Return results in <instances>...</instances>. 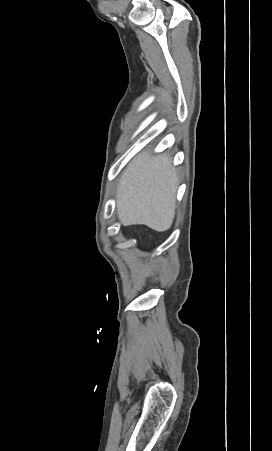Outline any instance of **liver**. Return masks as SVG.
<instances>
[{
  "instance_id": "6515ba94",
  "label": "liver",
  "mask_w": 272,
  "mask_h": 451,
  "mask_svg": "<svg viewBox=\"0 0 272 451\" xmlns=\"http://www.w3.org/2000/svg\"><path fill=\"white\" fill-rule=\"evenodd\" d=\"M178 176L168 156L138 154L119 180L117 214L123 226L144 224L166 231L173 224Z\"/></svg>"
}]
</instances>
